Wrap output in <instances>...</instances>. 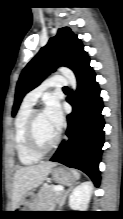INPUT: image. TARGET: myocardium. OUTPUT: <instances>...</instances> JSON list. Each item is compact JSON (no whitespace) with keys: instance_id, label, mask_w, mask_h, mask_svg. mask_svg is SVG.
Here are the masks:
<instances>
[{"instance_id":"f54148a6","label":"myocardium","mask_w":123,"mask_h":219,"mask_svg":"<svg viewBox=\"0 0 123 219\" xmlns=\"http://www.w3.org/2000/svg\"><path fill=\"white\" fill-rule=\"evenodd\" d=\"M42 112L43 111L38 110V109L33 110L31 112L28 118L27 129H26L27 145L30 151L39 157L45 156L51 151H53L57 147L61 139L60 132H58L56 138L50 145H48L47 147L40 145V143L38 142L37 136H36L35 123H36L37 116Z\"/></svg>"}]
</instances>
